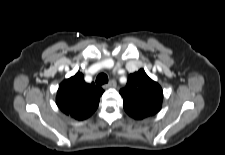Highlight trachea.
Segmentation results:
<instances>
[{
  "label": "trachea",
  "instance_id": "obj_1",
  "mask_svg": "<svg viewBox=\"0 0 225 155\" xmlns=\"http://www.w3.org/2000/svg\"><path fill=\"white\" fill-rule=\"evenodd\" d=\"M108 82V76L104 73H101L96 78L97 86L103 85Z\"/></svg>",
  "mask_w": 225,
  "mask_h": 155
}]
</instances>
